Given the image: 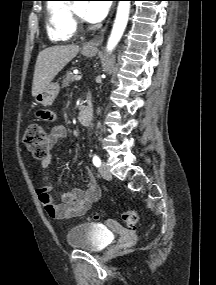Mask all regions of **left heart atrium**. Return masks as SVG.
Here are the masks:
<instances>
[{"label":"left heart atrium","instance_id":"obj_1","mask_svg":"<svg viewBox=\"0 0 216 285\" xmlns=\"http://www.w3.org/2000/svg\"><path fill=\"white\" fill-rule=\"evenodd\" d=\"M109 7L108 1H90L85 5L83 15L87 21L96 23L105 18Z\"/></svg>","mask_w":216,"mask_h":285}]
</instances>
